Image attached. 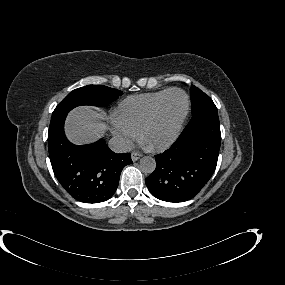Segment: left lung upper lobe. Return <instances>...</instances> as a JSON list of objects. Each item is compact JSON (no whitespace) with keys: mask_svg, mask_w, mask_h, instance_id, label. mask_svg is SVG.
Here are the masks:
<instances>
[{"mask_svg":"<svg viewBox=\"0 0 285 285\" xmlns=\"http://www.w3.org/2000/svg\"><path fill=\"white\" fill-rule=\"evenodd\" d=\"M191 104H192V114H195L197 111L204 107L215 105L212 99L202 92L200 89L191 85Z\"/></svg>","mask_w":285,"mask_h":285,"instance_id":"1","label":"left lung upper lobe"}]
</instances>
